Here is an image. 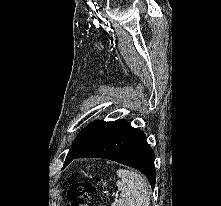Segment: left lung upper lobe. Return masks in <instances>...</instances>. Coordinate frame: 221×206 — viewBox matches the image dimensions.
<instances>
[{
	"mask_svg": "<svg viewBox=\"0 0 221 206\" xmlns=\"http://www.w3.org/2000/svg\"><path fill=\"white\" fill-rule=\"evenodd\" d=\"M112 122L94 121L85 127L76 137L66 160L78 154L86 146H88L104 129H106ZM65 160V161H66Z\"/></svg>",
	"mask_w": 221,
	"mask_h": 206,
	"instance_id": "5c2ea615",
	"label": "left lung upper lobe"
}]
</instances>
